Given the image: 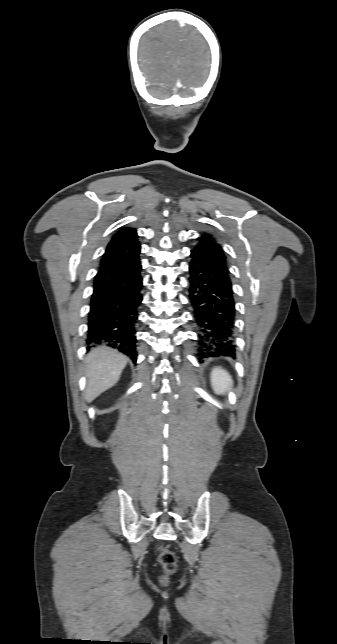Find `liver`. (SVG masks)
Instances as JSON below:
<instances>
[{"label": "liver", "instance_id": "6515ba94", "mask_svg": "<svg viewBox=\"0 0 337 644\" xmlns=\"http://www.w3.org/2000/svg\"><path fill=\"white\" fill-rule=\"evenodd\" d=\"M128 358L106 346L92 349L86 357L87 385L84 393L87 402L113 387L127 365Z\"/></svg>", "mask_w": 337, "mask_h": 644}]
</instances>
